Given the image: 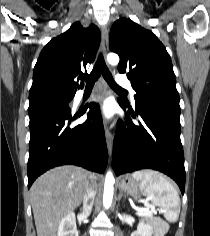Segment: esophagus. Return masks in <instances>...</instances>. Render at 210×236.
Instances as JSON below:
<instances>
[{"instance_id":"obj_1","label":"esophagus","mask_w":210,"mask_h":236,"mask_svg":"<svg viewBox=\"0 0 210 236\" xmlns=\"http://www.w3.org/2000/svg\"><path fill=\"white\" fill-rule=\"evenodd\" d=\"M101 38H102L103 54H104V57H106L108 53V30L106 26L101 27ZM104 125H105L106 144H107L109 155L111 156L112 149H113V135L110 131L109 124L107 121H105Z\"/></svg>"}]
</instances>
